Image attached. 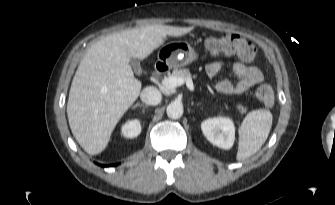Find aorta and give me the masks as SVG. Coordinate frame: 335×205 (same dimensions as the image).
Wrapping results in <instances>:
<instances>
[{"instance_id":"obj_1","label":"aorta","mask_w":335,"mask_h":205,"mask_svg":"<svg viewBox=\"0 0 335 205\" xmlns=\"http://www.w3.org/2000/svg\"><path fill=\"white\" fill-rule=\"evenodd\" d=\"M183 105L180 102H171L166 109L167 116L172 119H179L183 115Z\"/></svg>"}]
</instances>
